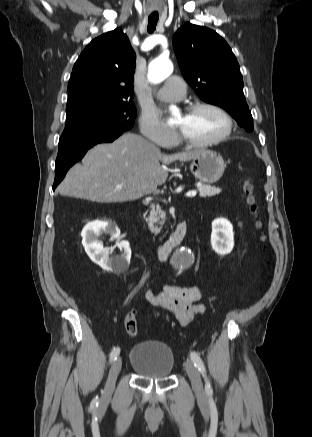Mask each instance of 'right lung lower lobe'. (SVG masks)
I'll list each match as a JSON object with an SVG mask.
<instances>
[{
    "mask_svg": "<svg viewBox=\"0 0 312 437\" xmlns=\"http://www.w3.org/2000/svg\"><path fill=\"white\" fill-rule=\"evenodd\" d=\"M122 133L93 138L80 144L74 145L71 148L58 151V156L55 163V181L53 190L63 180L68 169L78 162L87 152L88 149L98 143L112 142Z\"/></svg>",
    "mask_w": 312,
    "mask_h": 437,
    "instance_id": "1",
    "label": "right lung lower lobe"
}]
</instances>
